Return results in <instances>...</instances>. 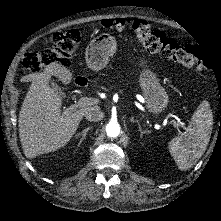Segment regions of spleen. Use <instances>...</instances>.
Segmentation results:
<instances>
[{
	"label": "spleen",
	"mask_w": 221,
	"mask_h": 221,
	"mask_svg": "<svg viewBox=\"0 0 221 221\" xmlns=\"http://www.w3.org/2000/svg\"><path fill=\"white\" fill-rule=\"evenodd\" d=\"M212 127V110L205 100L196 108L189 127L170 142V151L180 170H189L204 154Z\"/></svg>",
	"instance_id": "obj_1"
}]
</instances>
